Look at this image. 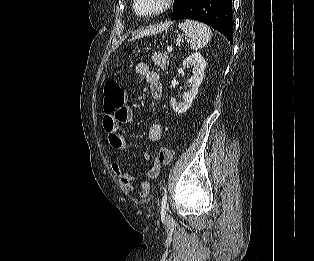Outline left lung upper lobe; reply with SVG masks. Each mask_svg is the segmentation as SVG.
<instances>
[{
	"label": "left lung upper lobe",
	"mask_w": 314,
	"mask_h": 261,
	"mask_svg": "<svg viewBox=\"0 0 314 261\" xmlns=\"http://www.w3.org/2000/svg\"><path fill=\"white\" fill-rule=\"evenodd\" d=\"M184 0H174L173 14L180 8Z\"/></svg>",
	"instance_id": "obj_1"
}]
</instances>
